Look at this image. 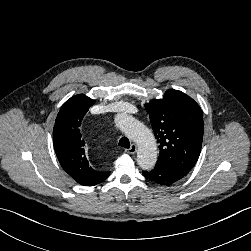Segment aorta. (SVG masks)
<instances>
[{"label":"aorta","mask_w":251,"mask_h":251,"mask_svg":"<svg viewBox=\"0 0 251 251\" xmlns=\"http://www.w3.org/2000/svg\"><path fill=\"white\" fill-rule=\"evenodd\" d=\"M116 125L139 147L137 163L143 170H151L157 162V145L152 132L141 122L126 114L115 117Z\"/></svg>","instance_id":"1"}]
</instances>
